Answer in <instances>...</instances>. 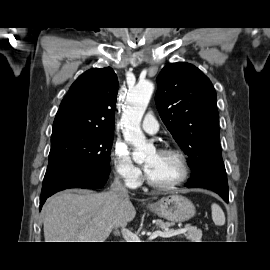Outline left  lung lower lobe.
<instances>
[{
  "label": "left lung lower lobe",
  "mask_w": 270,
  "mask_h": 270,
  "mask_svg": "<svg viewBox=\"0 0 270 270\" xmlns=\"http://www.w3.org/2000/svg\"><path fill=\"white\" fill-rule=\"evenodd\" d=\"M185 186L210 189L219 194L225 202L229 201L227 174L224 166H210L197 178L190 179Z\"/></svg>",
  "instance_id": "left-lung-lower-lobe-1"
}]
</instances>
